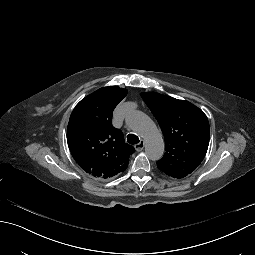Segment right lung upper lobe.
Returning a JSON list of instances; mask_svg holds the SVG:
<instances>
[{
    "label": "right lung upper lobe",
    "instance_id": "obj_1",
    "mask_svg": "<svg viewBox=\"0 0 255 255\" xmlns=\"http://www.w3.org/2000/svg\"><path fill=\"white\" fill-rule=\"evenodd\" d=\"M127 90L117 86L101 88L74 108L67 127V143L78 165L89 175L107 179L123 172L135 151L112 125L114 108Z\"/></svg>",
    "mask_w": 255,
    "mask_h": 255
}]
</instances>
